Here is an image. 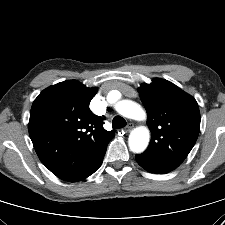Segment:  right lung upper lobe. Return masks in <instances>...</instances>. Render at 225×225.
<instances>
[{
  "mask_svg": "<svg viewBox=\"0 0 225 225\" xmlns=\"http://www.w3.org/2000/svg\"><path fill=\"white\" fill-rule=\"evenodd\" d=\"M97 88L76 80L44 89L33 102L29 135L41 162L57 177L77 182L90 176L114 137L89 103Z\"/></svg>",
  "mask_w": 225,
  "mask_h": 225,
  "instance_id": "1",
  "label": "right lung upper lobe"
}]
</instances>
